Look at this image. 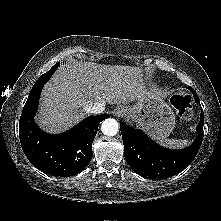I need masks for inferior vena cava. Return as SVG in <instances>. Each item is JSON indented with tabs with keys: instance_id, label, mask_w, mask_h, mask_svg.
<instances>
[{
	"instance_id": "602c4592",
	"label": "inferior vena cava",
	"mask_w": 221,
	"mask_h": 221,
	"mask_svg": "<svg viewBox=\"0 0 221 221\" xmlns=\"http://www.w3.org/2000/svg\"><path fill=\"white\" fill-rule=\"evenodd\" d=\"M85 110L88 113H92V114H100L105 110V105L102 103H94L91 105H88Z\"/></svg>"
}]
</instances>
